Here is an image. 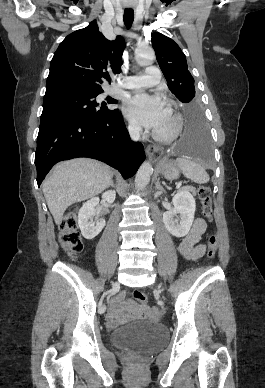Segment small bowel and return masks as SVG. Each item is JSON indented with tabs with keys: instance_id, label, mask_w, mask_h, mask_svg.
<instances>
[{
	"instance_id": "obj_1",
	"label": "small bowel",
	"mask_w": 265,
	"mask_h": 388,
	"mask_svg": "<svg viewBox=\"0 0 265 388\" xmlns=\"http://www.w3.org/2000/svg\"><path fill=\"white\" fill-rule=\"evenodd\" d=\"M206 231V222L202 218H197L190 232L182 239L179 245L180 254L188 260H196L204 255L206 247L201 244L203 234ZM123 302V298H119L114 307L120 306ZM119 320V316L116 310H113L109 315V322L114 325Z\"/></svg>"
}]
</instances>
